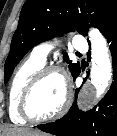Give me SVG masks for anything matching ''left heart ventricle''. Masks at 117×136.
<instances>
[{"label":"left heart ventricle","mask_w":117,"mask_h":136,"mask_svg":"<svg viewBox=\"0 0 117 136\" xmlns=\"http://www.w3.org/2000/svg\"><path fill=\"white\" fill-rule=\"evenodd\" d=\"M64 95L63 78L58 74H50L35 87L29 98L28 110L34 117L51 116L62 105Z\"/></svg>","instance_id":"obj_1"}]
</instances>
